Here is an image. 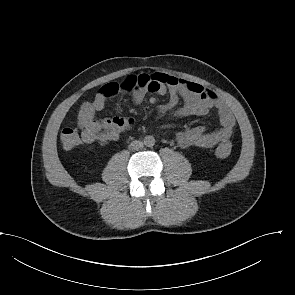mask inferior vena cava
I'll use <instances>...</instances> for the list:
<instances>
[{"mask_svg":"<svg viewBox=\"0 0 295 295\" xmlns=\"http://www.w3.org/2000/svg\"><path fill=\"white\" fill-rule=\"evenodd\" d=\"M143 148V142L141 141H132L129 145V150L131 151H138Z\"/></svg>","mask_w":295,"mask_h":295,"instance_id":"inferior-vena-cava-1","label":"inferior vena cava"}]
</instances>
